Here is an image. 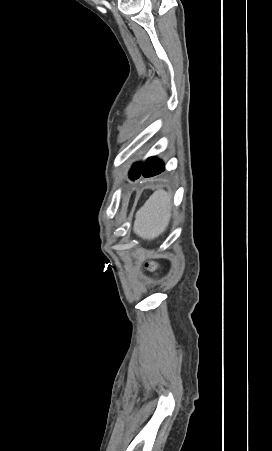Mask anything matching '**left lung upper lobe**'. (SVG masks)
<instances>
[{"instance_id":"left-lung-upper-lobe-1","label":"left lung upper lobe","mask_w":272,"mask_h":451,"mask_svg":"<svg viewBox=\"0 0 272 451\" xmlns=\"http://www.w3.org/2000/svg\"><path fill=\"white\" fill-rule=\"evenodd\" d=\"M143 165H144V162L134 163L131 170L129 171V175H130L129 178L137 177L141 173Z\"/></svg>"}]
</instances>
